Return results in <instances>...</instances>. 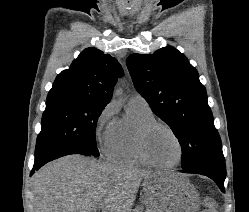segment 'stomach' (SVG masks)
<instances>
[{
	"mask_svg": "<svg viewBox=\"0 0 249 212\" xmlns=\"http://www.w3.org/2000/svg\"><path fill=\"white\" fill-rule=\"evenodd\" d=\"M143 186L147 212H199L197 190L176 170H155Z\"/></svg>",
	"mask_w": 249,
	"mask_h": 212,
	"instance_id": "stomach-1",
	"label": "stomach"
}]
</instances>
